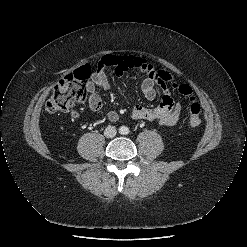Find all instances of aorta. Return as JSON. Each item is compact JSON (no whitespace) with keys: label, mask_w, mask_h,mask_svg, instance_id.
I'll list each match as a JSON object with an SVG mask.
<instances>
[{"label":"aorta","mask_w":247,"mask_h":247,"mask_svg":"<svg viewBox=\"0 0 247 247\" xmlns=\"http://www.w3.org/2000/svg\"><path fill=\"white\" fill-rule=\"evenodd\" d=\"M120 132H121L122 134H125V133H127V132H128V128H127V127L122 126V127L120 128Z\"/></svg>","instance_id":"aorta-1"}]
</instances>
